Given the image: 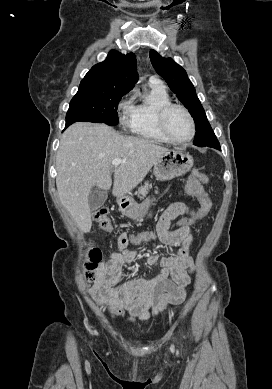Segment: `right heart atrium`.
I'll return each instance as SVG.
<instances>
[{
	"label": "right heart atrium",
	"mask_w": 272,
	"mask_h": 389,
	"mask_svg": "<svg viewBox=\"0 0 272 389\" xmlns=\"http://www.w3.org/2000/svg\"><path fill=\"white\" fill-rule=\"evenodd\" d=\"M131 106H132V102L129 95H126L121 99V101L118 104V111L120 113L121 120H124L125 114L129 112Z\"/></svg>",
	"instance_id": "1"
}]
</instances>
